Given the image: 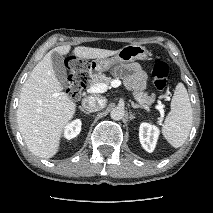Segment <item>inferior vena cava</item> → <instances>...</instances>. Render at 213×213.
Masks as SVG:
<instances>
[{"label": "inferior vena cava", "instance_id": "1", "mask_svg": "<svg viewBox=\"0 0 213 213\" xmlns=\"http://www.w3.org/2000/svg\"><path fill=\"white\" fill-rule=\"evenodd\" d=\"M107 99L105 97H93L89 96L82 100V106L89 112H96L105 107Z\"/></svg>", "mask_w": 213, "mask_h": 213}]
</instances>
